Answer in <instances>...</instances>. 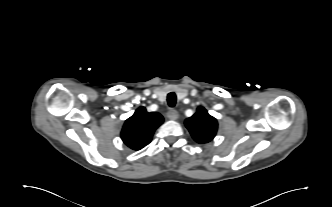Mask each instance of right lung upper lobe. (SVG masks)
<instances>
[{"mask_svg": "<svg viewBox=\"0 0 332 207\" xmlns=\"http://www.w3.org/2000/svg\"><path fill=\"white\" fill-rule=\"evenodd\" d=\"M163 123V117L157 112H147L139 107L128 118L121 131L122 141L133 150H140L150 143L153 133Z\"/></svg>", "mask_w": 332, "mask_h": 207, "instance_id": "obj_1", "label": "right lung upper lobe"}]
</instances>
